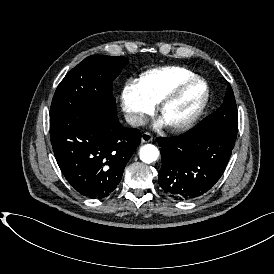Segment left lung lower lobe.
I'll return each instance as SVG.
<instances>
[{
  "mask_svg": "<svg viewBox=\"0 0 274 274\" xmlns=\"http://www.w3.org/2000/svg\"><path fill=\"white\" fill-rule=\"evenodd\" d=\"M235 141L236 137L203 127L177 137H158L159 185L176 200L206 193L224 173Z\"/></svg>",
  "mask_w": 274,
  "mask_h": 274,
  "instance_id": "left-lung-lower-lobe-1",
  "label": "left lung lower lobe"
}]
</instances>
